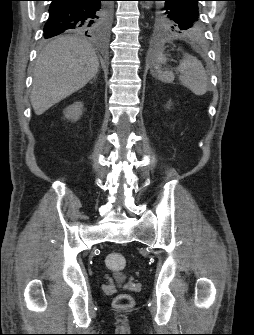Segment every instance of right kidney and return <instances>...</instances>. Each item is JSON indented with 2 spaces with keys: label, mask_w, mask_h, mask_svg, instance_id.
I'll return each instance as SVG.
<instances>
[{
  "label": "right kidney",
  "mask_w": 254,
  "mask_h": 335,
  "mask_svg": "<svg viewBox=\"0 0 254 335\" xmlns=\"http://www.w3.org/2000/svg\"><path fill=\"white\" fill-rule=\"evenodd\" d=\"M82 102H75L64 110V115L68 120L77 121L82 115Z\"/></svg>",
  "instance_id": "obj_1"
}]
</instances>
